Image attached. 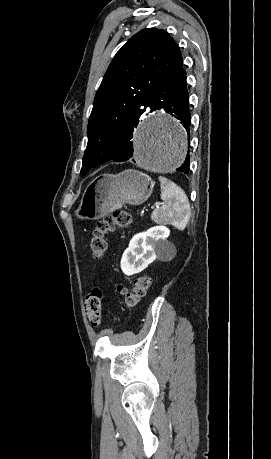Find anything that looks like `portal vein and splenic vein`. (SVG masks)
Wrapping results in <instances>:
<instances>
[{
	"label": "portal vein and splenic vein",
	"instance_id": "1",
	"mask_svg": "<svg viewBox=\"0 0 271 459\" xmlns=\"http://www.w3.org/2000/svg\"><path fill=\"white\" fill-rule=\"evenodd\" d=\"M151 206H152V208H151V209L153 210V209H154V205L152 204ZM156 206H159V204H156Z\"/></svg>",
	"mask_w": 271,
	"mask_h": 459
}]
</instances>
